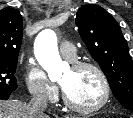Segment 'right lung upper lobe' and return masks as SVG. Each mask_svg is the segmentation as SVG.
<instances>
[{"instance_id": "1", "label": "right lung upper lobe", "mask_w": 133, "mask_h": 118, "mask_svg": "<svg viewBox=\"0 0 133 118\" xmlns=\"http://www.w3.org/2000/svg\"><path fill=\"white\" fill-rule=\"evenodd\" d=\"M23 21L14 8L0 10V58L17 59L22 42Z\"/></svg>"}]
</instances>
